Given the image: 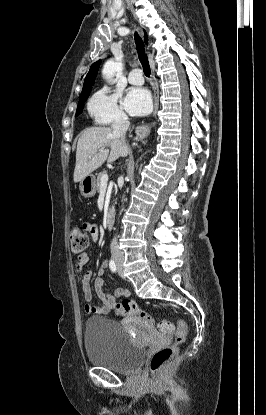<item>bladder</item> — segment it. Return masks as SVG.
Returning a JSON list of instances; mask_svg holds the SVG:
<instances>
[{
  "instance_id": "bladder-1",
  "label": "bladder",
  "mask_w": 266,
  "mask_h": 415,
  "mask_svg": "<svg viewBox=\"0 0 266 415\" xmlns=\"http://www.w3.org/2000/svg\"><path fill=\"white\" fill-rule=\"evenodd\" d=\"M84 346L90 363L119 373L135 371L145 356L120 323L105 317L86 320Z\"/></svg>"
}]
</instances>
